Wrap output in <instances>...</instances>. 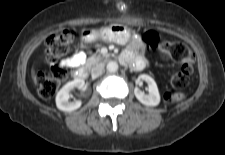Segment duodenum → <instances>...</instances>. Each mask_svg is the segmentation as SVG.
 Here are the masks:
<instances>
[{"label": "duodenum", "instance_id": "duodenum-1", "mask_svg": "<svg viewBox=\"0 0 225 155\" xmlns=\"http://www.w3.org/2000/svg\"><path fill=\"white\" fill-rule=\"evenodd\" d=\"M88 72L85 68H79L74 72V79L77 81H81L86 79Z\"/></svg>", "mask_w": 225, "mask_h": 155}]
</instances>
